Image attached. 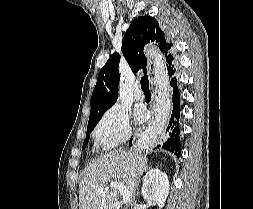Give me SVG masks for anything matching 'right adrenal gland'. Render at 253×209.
Returning <instances> with one entry per match:
<instances>
[{
	"label": "right adrenal gland",
	"instance_id": "1",
	"mask_svg": "<svg viewBox=\"0 0 253 209\" xmlns=\"http://www.w3.org/2000/svg\"><path fill=\"white\" fill-rule=\"evenodd\" d=\"M150 169V167H145L144 168V170L142 171V173L138 176V186H139V182H140V176L144 173V172H146L147 170H149ZM139 194V192H137V195Z\"/></svg>",
	"mask_w": 253,
	"mask_h": 209
}]
</instances>
